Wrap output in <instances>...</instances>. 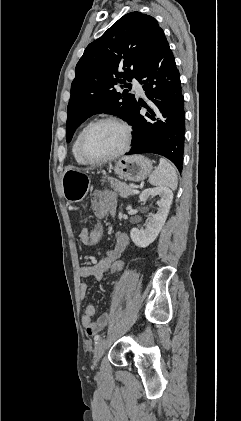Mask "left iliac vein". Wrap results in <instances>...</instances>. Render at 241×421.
I'll return each mask as SVG.
<instances>
[{"label":"left iliac vein","instance_id":"4c4485c4","mask_svg":"<svg viewBox=\"0 0 241 421\" xmlns=\"http://www.w3.org/2000/svg\"><path fill=\"white\" fill-rule=\"evenodd\" d=\"M106 349V341L105 340H100L94 349V357H93V363L94 365H97L98 362L100 361L101 357L103 356L104 352Z\"/></svg>","mask_w":241,"mask_h":421}]
</instances>
